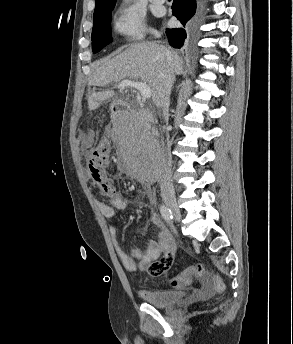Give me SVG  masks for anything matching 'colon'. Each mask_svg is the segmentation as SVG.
<instances>
[{
  "instance_id": "colon-1",
  "label": "colon",
  "mask_w": 293,
  "mask_h": 344,
  "mask_svg": "<svg viewBox=\"0 0 293 344\" xmlns=\"http://www.w3.org/2000/svg\"><path fill=\"white\" fill-rule=\"evenodd\" d=\"M86 136V135H85ZM111 144L109 140H101L97 146L91 152L88 158V167L93 182L99 187L101 192L108 196L114 197L117 194L115 181L112 176L108 174V168L110 166ZM204 266L197 264L188 267L179 276L172 280V285L180 287L186 284L188 280H192L196 276H205ZM214 282L215 289L218 293H221L225 289V285L222 280L214 275H209Z\"/></svg>"
}]
</instances>
